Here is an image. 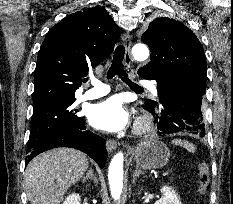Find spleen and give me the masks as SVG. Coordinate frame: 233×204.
Instances as JSON below:
<instances>
[{"instance_id": "spleen-1", "label": "spleen", "mask_w": 233, "mask_h": 204, "mask_svg": "<svg viewBox=\"0 0 233 204\" xmlns=\"http://www.w3.org/2000/svg\"><path fill=\"white\" fill-rule=\"evenodd\" d=\"M172 143L174 145H178V146H181V147L185 148L186 150H188L191 153H194L195 150H196L195 146L192 143L188 142V141H184V140H181V139H175V140L172 141Z\"/></svg>"}]
</instances>
